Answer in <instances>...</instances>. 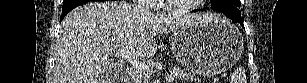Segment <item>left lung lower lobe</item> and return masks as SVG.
Masks as SVG:
<instances>
[{"label": "left lung lower lobe", "mask_w": 307, "mask_h": 83, "mask_svg": "<svg viewBox=\"0 0 307 83\" xmlns=\"http://www.w3.org/2000/svg\"><path fill=\"white\" fill-rule=\"evenodd\" d=\"M196 11H205L204 9H197L194 10V12ZM222 12L225 16H227L229 19L233 20V21H237L240 23V25L244 28V24H243V18L241 16H237V15H233L228 13L227 11H220Z\"/></svg>", "instance_id": "1"}]
</instances>
